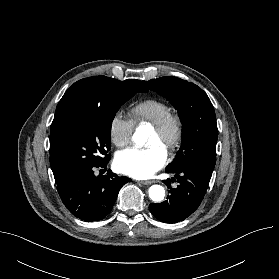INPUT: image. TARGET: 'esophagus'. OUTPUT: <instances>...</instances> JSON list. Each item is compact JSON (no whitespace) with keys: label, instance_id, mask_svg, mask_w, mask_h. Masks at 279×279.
<instances>
[{"label":"esophagus","instance_id":"1","mask_svg":"<svg viewBox=\"0 0 279 279\" xmlns=\"http://www.w3.org/2000/svg\"><path fill=\"white\" fill-rule=\"evenodd\" d=\"M154 182H155L154 180H147V181H140L139 183L143 184V185H150V184H152Z\"/></svg>","mask_w":279,"mask_h":279}]
</instances>
